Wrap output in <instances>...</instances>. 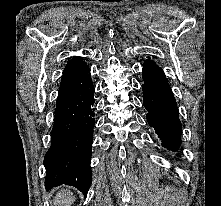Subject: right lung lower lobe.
Wrapping results in <instances>:
<instances>
[{"label": "right lung lower lobe", "instance_id": "obj_1", "mask_svg": "<svg viewBox=\"0 0 221 206\" xmlns=\"http://www.w3.org/2000/svg\"><path fill=\"white\" fill-rule=\"evenodd\" d=\"M94 88L88 65L83 62L63 73L59 87L51 146L44 158L45 188L62 184L87 194L92 178Z\"/></svg>", "mask_w": 221, "mask_h": 206}]
</instances>
